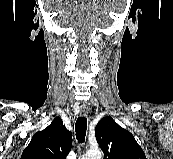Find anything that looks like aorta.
<instances>
[{
  "label": "aorta",
  "instance_id": "obj_1",
  "mask_svg": "<svg viewBox=\"0 0 173 159\" xmlns=\"http://www.w3.org/2000/svg\"><path fill=\"white\" fill-rule=\"evenodd\" d=\"M82 159H102V152L99 149H90Z\"/></svg>",
  "mask_w": 173,
  "mask_h": 159
}]
</instances>
